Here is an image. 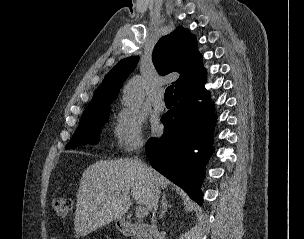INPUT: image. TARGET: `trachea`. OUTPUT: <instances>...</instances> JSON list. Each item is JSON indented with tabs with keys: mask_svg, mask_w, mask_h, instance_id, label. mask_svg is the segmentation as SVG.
<instances>
[{
	"mask_svg": "<svg viewBox=\"0 0 304 239\" xmlns=\"http://www.w3.org/2000/svg\"><path fill=\"white\" fill-rule=\"evenodd\" d=\"M173 91H174V85H171L166 88L164 98L165 100H172L173 99Z\"/></svg>",
	"mask_w": 304,
	"mask_h": 239,
	"instance_id": "1",
	"label": "trachea"
}]
</instances>
